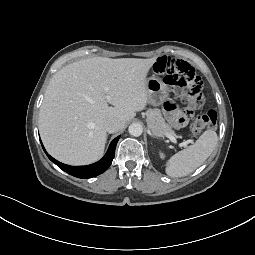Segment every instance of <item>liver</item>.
I'll list each match as a JSON object with an SVG mask.
<instances>
[{"label":"liver","mask_w":255,"mask_h":255,"mask_svg":"<svg viewBox=\"0 0 255 255\" xmlns=\"http://www.w3.org/2000/svg\"><path fill=\"white\" fill-rule=\"evenodd\" d=\"M156 60L96 57L59 70L39 113V131L48 153L70 165L99 160L107 140L105 121L116 118L124 127L145 109L146 76Z\"/></svg>","instance_id":"6515ba94"}]
</instances>
